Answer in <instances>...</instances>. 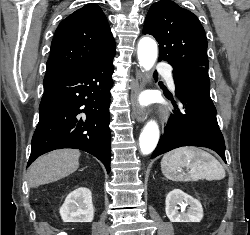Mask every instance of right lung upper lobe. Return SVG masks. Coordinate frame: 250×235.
<instances>
[{
  "label": "right lung upper lobe",
  "instance_id": "right-lung-upper-lobe-1",
  "mask_svg": "<svg viewBox=\"0 0 250 235\" xmlns=\"http://www.w3.org/2000/svg\"><path fill=\"white\" fill-rule=\"evenodd\" d=\"M111 52L115 41L107 18L97 4H87L57 27L45 77L75 72Z\"/></svg>",
  "mask_w": 250,
  "mask_h": 235
}]
</instances>
